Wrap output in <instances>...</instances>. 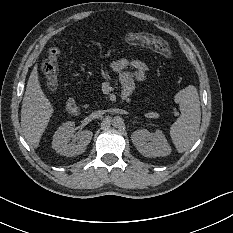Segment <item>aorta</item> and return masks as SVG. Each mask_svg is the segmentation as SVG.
<instances>
[{"label": "aorta", "mask_w": 233, "mask_h": 233, "mask_svg": "<svg viewBox=\"0 0 233 233\" xmlns=\"http://www.w3.org/2000/svg\"><path fill=\"white\" fill-rule=\"evenodd\" d=\"M112 124H113V125H115V122H114V120H112Z\"/></svg>", "instance_id": "obj_1"}]
</instances>
